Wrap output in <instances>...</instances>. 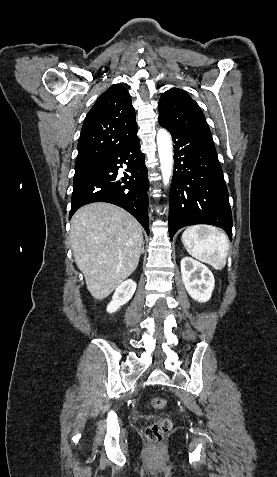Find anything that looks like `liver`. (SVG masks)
I'll list each match as a JSON object with an SVG mask.
<instances>
[{
    "mask_svg": "<svg viewBox=\"0 0 277 477\" xmlns=\"http://www.w3.org/2000/svg\"><path fill=\"white\" fill-rule=\"evenodd\" d=\"M71 248L90 294L108 297L136 269L143 234L139 222L110 203H91L71 219Z\"/></svg>",
    "mask_w": 277,
    "mask_h": 477,
    "instance_id": "1",
    "label": "liver"
}]
</instances>
